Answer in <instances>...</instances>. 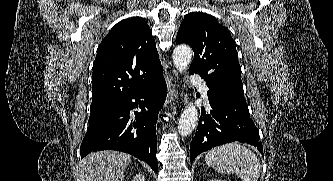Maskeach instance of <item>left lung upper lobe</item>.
I'll use <instances>...</instances> for the list:
<instances>
[{
    "mask_svg": "<svg viewBox=\"0 0 333 181\" xmlns=\"http://www.w3.org/2000/svg\"><path fill=\"white\" fill-rule=\"evenodd\" d=\"M176 43L189 44L194 51L190 74L200 75L234 102L247 106L235 42L215 17L202 12L187 14Z\"/></svg>",
    "mask_w": 333,
    "mask_h": 181,
    "instance_id": "obj_1",
    "label": "left lung upper lobe"
}]
</instances>
